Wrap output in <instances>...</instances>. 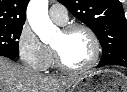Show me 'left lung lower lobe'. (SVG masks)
Masks as SVG:
<instances>
[{
    "label": "left lung lower lobe",
    "instance_id": "1",
    "mask_svg": "<svg viewBox=\"0 0 127 92\" xmlns=\"http://www.w3.org/2000/svg\"><path fill=\"white\" fill-rule=\"evenodd\" d=\"M105 65H120L127 67V48L117 49L107 57H102L97 68Z\"/></svg>",
    "mask_w": 127,
    "mask_h": 92
}]
</instances>
